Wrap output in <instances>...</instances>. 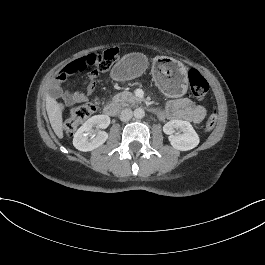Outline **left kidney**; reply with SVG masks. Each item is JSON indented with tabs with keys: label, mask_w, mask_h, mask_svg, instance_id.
I'll list each match as a JSON object with an SVG mask.
<instances>
[{
	"label": "left kidney",
	"mask_w": 265,
	"mask_h": 265,
	"mask_svg": "<svg viewBox=\"0 0 265 265\" xmlns=\"http://www.w3.org/2000/svg\"><path fill=\"white\" fill-rule=\"evenodd\" d=\"M175 129H179L183 133H175ZM163 132L169 135L171 145L177 150L187 151L199 144L198 134L187 121L171 120L163 126Z\"/></svg>",
	"instance_id": "1"
}]
</instances>
